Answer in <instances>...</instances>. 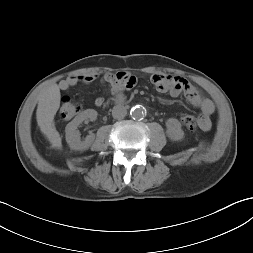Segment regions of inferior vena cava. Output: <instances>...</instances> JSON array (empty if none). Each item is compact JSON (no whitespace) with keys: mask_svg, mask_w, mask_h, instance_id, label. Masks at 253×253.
<instances>
[{"mask_svg":"<svg viewBox=\"0 0 253 253\" xmlns=\"http://www.w3.org/2000/svg\"><path fill=\"white\" fill-rule=\"evenodd\" d=\"M127 114V110L124 106L117 105L113 107L112 116L115 119H123Z\"/></svg>","mask_w":253,"mask_h":253,"instance_id":"inferior-vena-cava-1","label":"inferior vena cava"}]
</instances>
